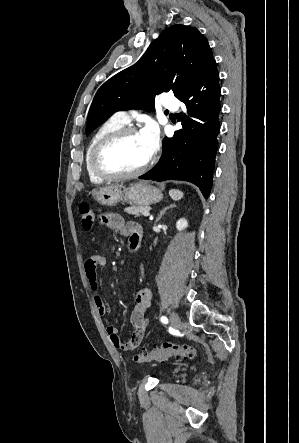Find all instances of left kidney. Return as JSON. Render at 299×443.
Listing matches in <instances>:
<instances>
[{"label": "left kidney", "instance_id": "obj_1", "mask_svg": "<svg viewBox=\"0 0 299 443\" xmlns=\"http://www.w3.org/2000/svg\"><path fill=\"white\" fill-rule=\"evenodd\" d=\"M188 227V222L185 218H181L176 222V228L178 231H183Z\"/></svg>", "mask_w": 299, "mask_h": 443}]
</instances>
